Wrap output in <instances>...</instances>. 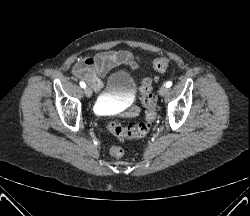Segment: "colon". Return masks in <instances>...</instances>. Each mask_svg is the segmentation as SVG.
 I'll list each match as a JSON object with an SVG mask.
<instances>
[{
  "label": "colon",
  "mask_w": 250,
  "mask_h": 216,
  "mask_svg": "<svg viewBox=\"0 0 250 216\" xmlns=\"http://www.w3.org/2000/svg\"><path fill=\"white\" fill-rule=\"evenodd\" d=\"M170 65L167 57H160L154 60L153 68L157 72H164ZM156 81L153 77H145L140 85L139 98L146 109L145 120L135 125L122 126L116 122L107 123V129L110 133L119 139H135L146 136L153 125L156 116V104L153 97V83ZM110 154L116 158L123 156L124 151L119 146H112Z\"/></svg>",
  "instance_id": "1"
}]
</instances>
